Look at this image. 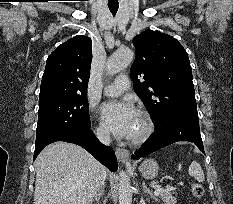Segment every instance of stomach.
<instances>
[{"label": "stomach", "mask_w": 233, "mask_h": 204, "mask_svg": "<svg viewBox=\"0 0 233 204\" xmlns=\"http://www.w3.org/2000/svg\"><path fill=\"white\" fill-rule=\"evenodd\" d=\"M139 170L144 178L152 179L158 174V164L152 159H147L139 167Z\"/></svg>", "instance_id": "1"}]
</instances>
